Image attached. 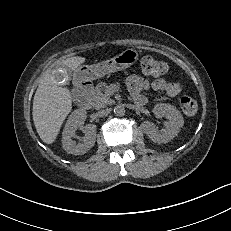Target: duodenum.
I'll list each match as a JSON object with an SVG mask.
<instances>
[{
    "label": "duodenum",
    "mask_w": 231,
    "mask_h": 231,
    "mask_svg": "<svg viewBox=\"0 0 231 231\" xmlns=\"http://www.w3.org/2000/svg\"><path fill=\"white\" fill-rule=\"evenodd\" d=\"M93 90V84L86 79H79L76 83V101L81 109H88L90 106V94ZM146 100L142 97L137 98L135 103L145 104Z\"/></svg>",
    "instance_id": "1"
}]
</instances>
